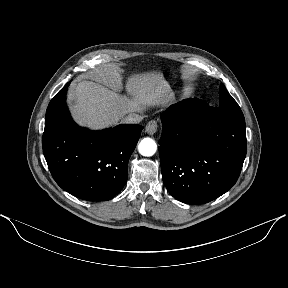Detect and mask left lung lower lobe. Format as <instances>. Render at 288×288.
Returning <instances> with one entry per match:
<instances>
[{
  "instance_id": "0a47b994",
  "label": "left lung lower lobe",
  "mask_w": 288,
  "mask_h": 288,
  "mask_svg": "<svg viewBox=\"0 0 288 288\" xmlns=\"http://www.w3.org/2000/svg\"><path fill=\"white\" fill-rule=\"evenodd\" d=\"M212 108L190 98L161 115L163 183L183 203L204 204L226 193L246 156L245 125L219 117Z\"/></svg>"
}]
</instances>
